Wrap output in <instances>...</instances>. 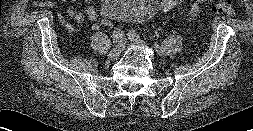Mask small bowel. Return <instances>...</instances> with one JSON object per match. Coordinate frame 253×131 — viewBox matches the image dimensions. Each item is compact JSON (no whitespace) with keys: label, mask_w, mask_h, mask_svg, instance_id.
Segmentation results:
<instances>
[{"label":"small bowel","mask_w":253,"mask_h":131,"mask_svg":"<svg viewBox=\"0 0 253 131\" xmlns=\"http://www.w3.org/2000/svg\"><path fill=\"white\" fill-rule=\"evenodd\" d=\"M86 3V7H85V12H79L77 11L75 8H73L72 6L69 5L70 0H61L62 3H64L67 8H66V13L69 17H71L76 23H81L85 20L89 21L92 23V28L94 30L98 29V25L96 23L97 18H98V12L96 10V8L93 6V2L94 0H84ZM208 0H190V8L188 11V16L190 18L195 17L200 9V6L204 3H206ZM66 27L70 30V31H75V28L66 23Z\"/></svg>","instance_id":"c3829d8e"}]
</instances>
